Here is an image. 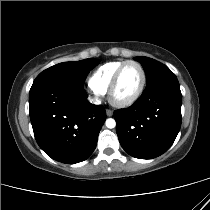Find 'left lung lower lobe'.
I'll list each match as a JSON object with an SVG mask.
<instances>
[{
    "mask_svg": "<svg viewBox=\"0 0 210 210\" xmlns=\"http://www.w3.org/2000/svg\"><path fill=\"white\" fill-rule=\"evenodd\" d=\"M182 95L174 73L162 76L146 88L128 109L114 112L122 148L139 159L166 152L181 126Z\"/></svg>",
    "mask_w": 210,
    "mask_h": 210,
    "instance_id": "0a47b994",
    "label": "left lung lower lobe"
}]
</instances>
